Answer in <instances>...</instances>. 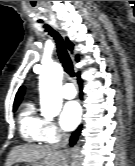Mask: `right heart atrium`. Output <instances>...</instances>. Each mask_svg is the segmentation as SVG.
Masks as SVG:
<instances>
[{"label":"right heart atrium","instance_id":"right-heart-atrium-1","mask_svg":"<svg viewBox=\"0 0 135 166\" xmlns=\"http://www.w3.org/2000/svg\"><path fill=\"white\" fill-rule=\"evenodd\" d=\"M43 136L45 141L56 142L61 139L62 133L54 122L45 120Z\"/></svg>","mask_w":135,"mask_h":166}]
</instances>
